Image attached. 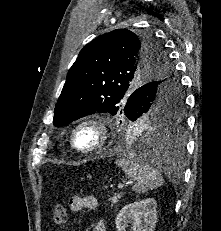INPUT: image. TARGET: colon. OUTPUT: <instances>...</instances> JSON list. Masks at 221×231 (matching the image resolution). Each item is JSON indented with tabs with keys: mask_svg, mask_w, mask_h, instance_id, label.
I'll return each instance as SVG.
<instances>
[{
	"mask_svg": "<svg viewBox=\"0 0 221 231\" xmlns=\"http://www.w3.org/2000/svg\"><path fill=\"white\" fill-rule=\"evenodd\" d=\"M66 221V209L61 202H56L52 213V224L61 226Z\"/></svg>",
	"mask_w": 221,
	"mask_h": 231,
	"instance_id": "obj_1",
	"label": "colon"
}]
</instances>
